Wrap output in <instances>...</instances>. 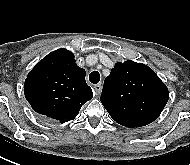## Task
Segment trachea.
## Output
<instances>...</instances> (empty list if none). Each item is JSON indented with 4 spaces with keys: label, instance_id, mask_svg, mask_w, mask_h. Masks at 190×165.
<instances>
[{
    "label": "trachea",
    "instance_id": "3493384b",
    "mask_svg": "<svg viewBox=\"0 0 190 165\" xmlns=\"http://www.w3.org/2000/svg\"><path fill=\"white\" fill-rule=\"evenodd\" d=\"M89 80L93 84H97L100 81V74L98 71H93L89 74Z\"/></svg>",
    "mask_w": 190,
    "mask_h": 165
}]
</instances>
